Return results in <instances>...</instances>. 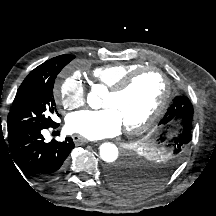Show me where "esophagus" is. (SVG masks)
I'll return each instance as SVG.
<instances>
[{
	"label": "esophagus",
	"mask_w": 216,
	"mask_h": 216,
	"mask_svg": "<svg viewBox=\"0 0 216 216\" xmlns=\"http://www.w3.org/2000/svg\"><path fill=\"white\" fill-rule=\"evenodd\" d=\"M72 138H73L74 143L77 145H83L88 142L83 136L78 135V134H74Z\"/></svg>",
	"instance_id": "obj_1"
}]
</instances>
